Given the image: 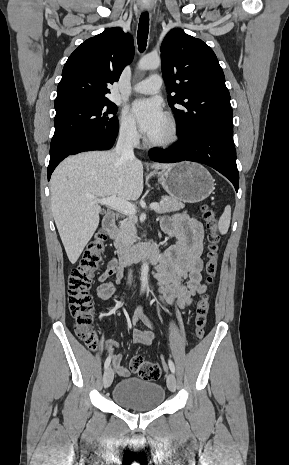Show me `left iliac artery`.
I'll list each match as a JSON object with an SVG mask.
<instances>
[{
    "label": "left iliac artery",
    "mask_w": 289,
    "mask_h": 465,
    "mask_svg": "<svg viewBox=\"0 0 289 465\" xmlns=\"http://www.w3.org/2000/svg\"><path fill=\"white\" fill-rule=\"evenodd\" d=\"M168 364H169V368H170L171 372L175 373V366H174V363L172 362V360L169 359Z\"/></svg>",
    "instance_id": "44dca946"
}]
</instances>
